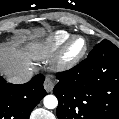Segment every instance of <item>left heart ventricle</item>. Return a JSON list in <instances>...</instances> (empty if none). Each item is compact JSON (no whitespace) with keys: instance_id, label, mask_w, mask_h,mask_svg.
<instances>
[{"instance_id":"left-heart-ventricle-1","label":"left heart ventricle","mask_w":119,"mask_h":119,"mask_svg":"<svg viewBox=\"0 0 119 119\" xmlns=\"http://www.w3.org/2000/svg\"><path fill=\"white\" fill-rule=\"evenodd\" d=\"M83 48V41L82 40H76L72 43L68 50V55L69 56H74L78 54Z\"/></svg>"}]
</instances>
